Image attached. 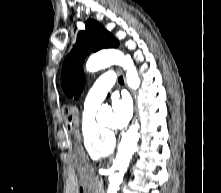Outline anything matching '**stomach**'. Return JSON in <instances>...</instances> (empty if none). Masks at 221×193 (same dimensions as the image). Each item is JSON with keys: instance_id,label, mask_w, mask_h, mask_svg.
Here are the masks:
<instances>
[{"instance_id": "0dacf381", "label": "stomach", "mask_w": 221, "mask_h": 193, "mask_svg": "<svg viewBox=\"0 0 221 193\" xmlns=\"http://www.w3.org/2000/svg\"><path fill=\"white\" fill-rule=\"evenodd\" d=\"M60 109H63L62 123H64L67 130H70V133H67V138H71L72 141L68 142L67 147V152L72 155L70 167H78L79 177H82L76 193H93L92 174H94V164L85 162L87 154H84L83 142H77L78 138H82V133H77L76 130L80 123L78 109L72 102L60 104Z\"/></svg>"}]
</instances>
